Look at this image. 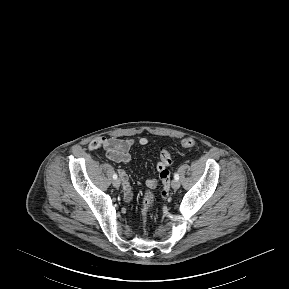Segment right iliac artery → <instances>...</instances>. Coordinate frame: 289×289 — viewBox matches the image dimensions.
<instances>
[{
  "mask_svg": "<svg viewBox=\"0 0 289 289\" xmlns=\"http://www.w3.org/2000/svg\"><path fill=\"white\" fill-rule=\"evenodd\" d=\"M113 179H117V174H113Z\"/></svg>",
  "mask_w": 289,
  "mask_h": 289,
  "instance_id": "obj_1",
  "label": "right iliac artery"
}]
</instances>
